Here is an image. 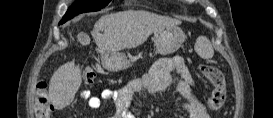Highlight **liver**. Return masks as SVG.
<instances>
[{"label": "liver", "mask_w": 273, "mask_h": 118, "mask_svg": "<svg viewBox=\"0 0 273 118\" xmlns=\"http://www.w3.org/2000/svg\"><path fill=\"white\" fill-rule=\"evenodd\" d=\"M179 24L181 21L170 17L143 10H127L102 16L95 23L91 35L102 52L114 53L143 44L158 28ZM81 83L79 66L74 62L60 66L49 82V98L55 108L61 110L68 106Z\"/></svg>", "instance_id": "1"}]
</instances>
